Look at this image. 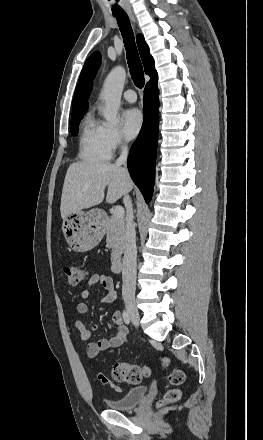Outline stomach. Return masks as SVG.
I'll use <instances>...</instances> for the list:
<instances>
[{"instance_id":"0dacf381","label":"stomach","mask_w":263,"mask_h":440,"mask_svg":"<svg viewBox=\"0 0 263 440\" xmlns=\"http://www.w3.org/2000/svg\"><path fill=\"white\" fill-rule=\"evenodd\" d=\"M101 212L73 211L62 224L63 233L70 248L77 252H87L102 240L106 225L101 221Z\"/></svg>"}]
</instances>
